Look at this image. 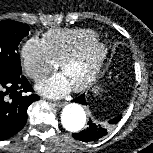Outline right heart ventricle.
Masks as SVG:
<instances>
[{
  "mask_svg": "<svg viewBox=\"0 0 153 153\" xmlns=\"http://www.w3.org/2000/svg\"><path fill=\"white\" fill-rule=\"evenodd\" d=\"M98 34L91 29H53L44 35V42L57 63L96 40Z\"/></svg>",
  "mask_w": 153,
  "mask_h": 153,
  "instance_id": "1",
  "label": "right heart ventricle"
}]
</instances>
